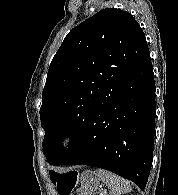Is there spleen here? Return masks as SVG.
<instances>
[{
  "label": "spleen",
  "instance_id": "3e777b00",
  "mask_svg": "<svg viewBox=\"0 0 178 195\" xmlns=\"http://www.w3.org/2000/svg\"><path fill=\"white\" fill-rule=\"evenodd\" d=\"M97 176L109 188L111 195H122L131 191L128 181L106 170L98 169Z\"/></svg>",
  "mask_w": 178,
  "mask_h": 195
}]
</instances>
